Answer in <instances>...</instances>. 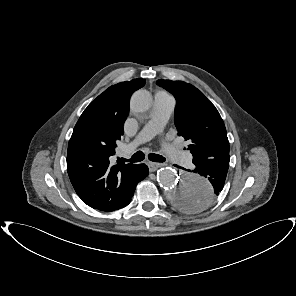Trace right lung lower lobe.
I'll return each instance as SVG.
<instances>
[{
  "label": "right lung lower lobe",
  "instance_id": "1",
  "mask_svg": "<svg viewBox=\"0 0 296 296\" xmlns=\"http://www.w3.org/2000/svg\"><path fill=\"white\" fill-rule=\"evenodd\" d=\"M148 175V167L145 164H134L128 175V193L118 209L125 207L131 201L136 185Z\"/></svg>",
  "mask_w": 296,
  "mask_h": 296
}]
</instances>
